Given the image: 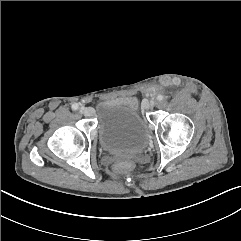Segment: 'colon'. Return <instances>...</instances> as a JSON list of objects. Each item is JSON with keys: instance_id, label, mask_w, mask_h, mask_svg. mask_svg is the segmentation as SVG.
Returning a JSON list of instances; mask_svg holds the SVG:
<instances>
[{"instance_id": "1", "label": "colon", "mask_w": 241, "mask_h": 241, "mask_svg": "<svg viewBox=\"0 0 241 241\" xmlns=\"http://www.w3.org/2000/svg\"><path fill=\"white\" fill-rule=\"evenodd\" d=\"M117 170L119 171H130L134 168V164L131 161H122L117 164L116 166Z\"/></svg>"}]
</instances>
